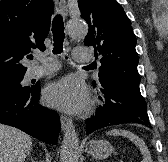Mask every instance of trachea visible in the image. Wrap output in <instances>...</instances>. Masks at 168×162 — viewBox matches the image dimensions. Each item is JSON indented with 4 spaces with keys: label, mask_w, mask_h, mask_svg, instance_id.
Wrapping results in <instances>:
<instances>
[{
    "label": "trachea",
    "mask_w": 168,
    "mask_h": 162,
    "mask_svg": "<svg viewBox=\"0 0 168 162\" xmlns=\"http://www.w3.org/2000/svg\"><path fill=\"white\" fill-rule=\"evenodd\" d=\"M52 33H53V41H54V54H60L63 52V42L65 38L64 33V23L61 15H56L52 22ZM29 59H32L30 57ZM92 65H89L91 67Z\"/></svg>",
    "instance_id": "trachea-1"
}]
</instances>
